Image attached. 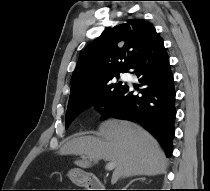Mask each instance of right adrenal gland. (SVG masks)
Here are the masks:
<instances>
[{"mask_svg":"<svg viewBox=\"0 0 210 191\" xmlns=\"http://www.w3.org/2000/svg\"><path fill=\"white\" fill-rule=\"evenodd\" d=\"M137 180H141V181H145V177H141V178H136V179H133L129 182V184H127L126 188L124 190L127 189V187H129L133 182L137 181Z\"/></svg>","mask_w":210,"mask_h":191,"instance_id":"obj_1","label":"right adrenal gland"}]
</instances>
